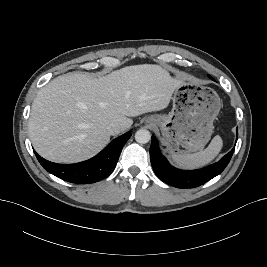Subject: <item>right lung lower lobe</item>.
<instances>
[{
	"mask_svg": "<svg viewBox=\"0 0 267 267\" xmlns=\"http://www.w3.org/2000/svg\"><path fill=\"white\" fill-rule=\"evenodd\" d=\"M130 136V132L125 133L114 139L95 157L76 164H56L45 160L37 153L35 154L44 169L62 180L78 184L94 183L108 177L112 173L122 148Z\"/></svg>",
	"mask_w": 267,
	"mask_h": 267,
	"instance_id": "1",
	"label": "right lung lower lobe"
}]
</instances>
